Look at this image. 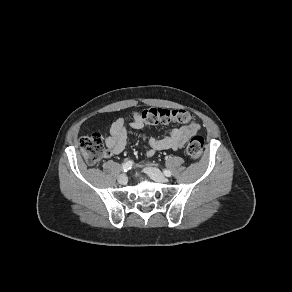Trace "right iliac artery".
I'll list each match as a JSON object with an SVG mask.
<instances>
[{"instance_id": "right-iliac-artery-1", "label": "right iliac artery", "mask_w": 292, "mask_h": 292, "mask_svg": "<svg viewBox=\"0 0 292 292\" xmlns=\"http://www.w3.org/2000/svg\"><path fill=\"white\" fill-rule=\"evenodd\" d=\"M132 166H133V161L129 160L123 164L122 171L127 172L128 170L132 168Z\"/></svg>"}]
</instances>
